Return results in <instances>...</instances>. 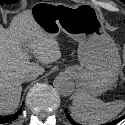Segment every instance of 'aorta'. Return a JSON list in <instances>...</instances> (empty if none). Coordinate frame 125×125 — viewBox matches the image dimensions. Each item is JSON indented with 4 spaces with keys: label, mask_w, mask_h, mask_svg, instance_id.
Returning a JSON list of instances; mask_svg holds the SVG:
<instances>
[{
    "label": "aorta",
    "mask_w": 125,
    "mask_h": 125,
    "mask_svg": "<svg viewBox=\"0 0 125 125\" xmlns=\"http://www.w3.org/2000/svg\"><path fill=\"white\" fill-rule=\"evenodd\" d=\"M54 88L56 91L63 95L69 96L74 91V82L66 75H59L54 79Z\"/></svg>",
    "instance_id": "1"
}]
</instances>
